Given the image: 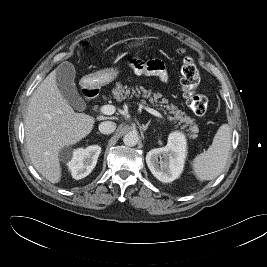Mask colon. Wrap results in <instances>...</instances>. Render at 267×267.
<instances>
[{
	"mask_svg": "<svg viewBox=\"0 0 267 267\" xmlns=\"http://www.w3.org/2000/svg\"><path fill=\"white\" fill-rule=\"evenodd\" d=\"M181 87L190 110L196 115H204L208 109V99L198 92L200 75L194 60L185 57L181 65Z\"/></svg>",
	"mask_w": 267,
	"mask_h": 267,
	"instance_id": "colon-1",
	"label": "colon"
}]
</instances>
